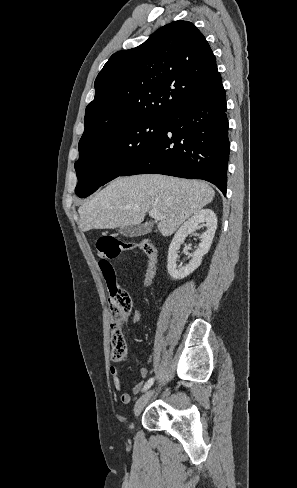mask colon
Here are the masks:
<instances>
[{"label": "colon", "instance_id": "obj_1", "mask_svg": "<svg viewBox=\"0 0 297 488\" xmlns=\"http://www.w3.org/2000/svg\"><path fill=\"white\" fill-rule=\"evenodd\" d=\"M101 259L99 267L104 275L109 289V306L112 315L111 322V355L116 362L125 360L127 356V344L122 332V321L130 314L131 298L129 293L117 285L116 271L111 259L117 258L123 251L140 249L148 257V270L146 283L150 285L156 274L158 252L149 242L128 243L119 240L111 235H104L96 243Z\"/></svg>", "mask_w": 297, "mask_h": 488}]
</instances>
